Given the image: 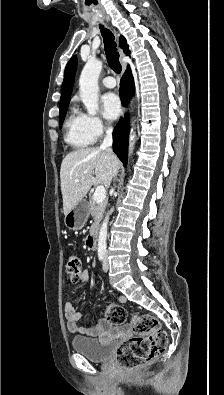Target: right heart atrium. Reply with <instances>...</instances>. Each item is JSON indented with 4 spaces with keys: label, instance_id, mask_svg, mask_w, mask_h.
Wrapping results in <instances>:
<instances>
[{
    "label": "right heart atrium",
    "instance_id": "right-heart-atrium-1",
    "mask_svg": "<svg viewBox=\"0 0 224 395\" xmlns=\"http://www.w3.org/2000/svg\"><path fill=\"white\" fill-rule=\"evenodd\" d=\"M88 131L94 138H99L109 130V125L99 116L82 114Z\"/></svg>",
    "mask_w": 224,
    "mask_h": 395
}]
</instances>
